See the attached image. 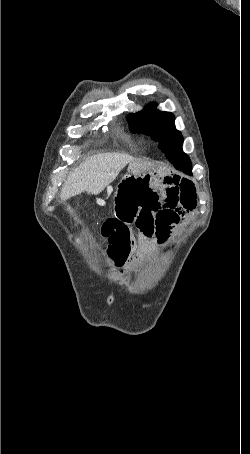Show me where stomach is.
<instances>
[{"label":"stomach","instance_id":"1","mask_svg":"<svg viewBox=\"0 0 250 454\" xmlns=\"http://www.w3.org/2000/svg\"><path fill=\"white\" fill-rule=\"evenodd\" d=\"M124 176H155L154 172L145 164L132 162Z\"/></svg>","mask_w":250,"mask_h":454}]
</instances>
